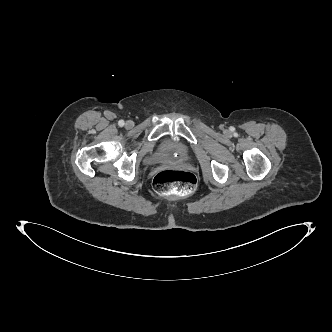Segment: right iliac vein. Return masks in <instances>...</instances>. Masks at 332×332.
I'll return each mask as SVG.
<instances>
[{"label": "right iliac vein", "mask_w": 332, "mask_h": 332, "mask_svg": "<svg viewBox=\"0 0 332 332\" xmlns=\"http://www.w3.org/2000/svg\"><path fill=\"white\" fill-rule=\"evenodd\" d=\"M133 126V122L131 121V120H128L127 122H126V127L127 128H131Z\"/></svg>", "instance_id": "right-iliac-vein-1"}]
</instances>
